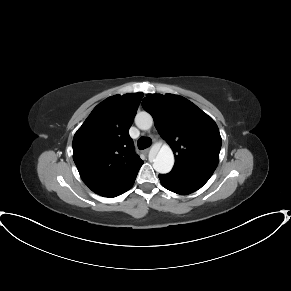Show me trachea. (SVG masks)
Wrapping results in <instances>:
<instances>
[{"label": "trachea", "instance_id": "3493384b", "mask_svg": "<svg viewBox=\"0 0 291 291\" xmlns=\"http://www.w3.org/2000/svg\"><path fill=\"white\" fill-rule=\"evenodd\" d=\"M152 143V140L149 137H141L138 139L137 145L140 150L148 148Z\"/></svg>", "mask_w": 291, "mask_h": 291}]
</instances>
